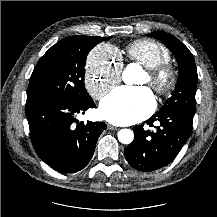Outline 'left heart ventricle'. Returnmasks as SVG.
<instances>
[{
    "label": "left heart ventricle",
    "instance_id": "1",
    "mask_svg": "<svg viewBox=\"0 0 217 217\" xmlns=\"http://www.w3.org/2000/svg\"><path fill=\"white\" fill-rule=\"evenodd\" d=\"M148 82V76L145 75L144 79L140 82V84H145Z\"/></svg>",
    "mask_w": 217,
    "mask_h": 217
}]
</instances>
